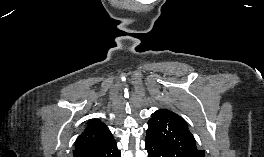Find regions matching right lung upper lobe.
<instances>
[{
	"label": "right lung upper lobe",
	"instance_id": "right-lung-upper-lobe-1",
	"mask_svg": "<svg viewBox=\"0 0 264 157\" xmlns=\"http://www.w3.org/2000/svg\"><path fill=\"white\" fill-rule=\"evenodd\" d=\"M112 139L114 138L108 127L100 120L92 119L77 138L73 157H79L82 153L97 148Z\"/></svg>",
	"mask_w": 264,
	"mask_h": 157
}]
</instances>
